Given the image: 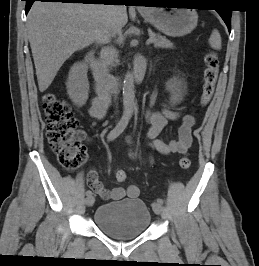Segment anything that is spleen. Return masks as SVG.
Returning <instances> with one entry per match:
<instances>
[{
    "label": "spleen",
    "mask_w": 259,
    "mask_h": 266,
    "mask_svg": "<svg viewBox=\"0 0 259 266\" xmlns=\"http://www.w3.org/2000/svg\"><path fill=\"white\" fill-rule=\"evenodd\" d=\"M209 44L210 46L215 49V50H220L222 45H221V36L218 30L214 29L212 31V34L209 38Z\"/></svg>",
    "instance_id": "spleen-1"
}]
</instances>
